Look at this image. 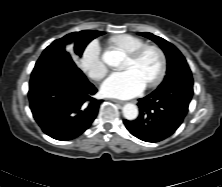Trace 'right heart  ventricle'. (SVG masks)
Masks as SVG:
<instances>
[{
  "label": "right heart ventricle",
  "instance_id": "e07e8e85",
  "mask_svg": "<svg viewBox=\"0 0 222 187\" xmlns=\"http://www.w3.org/2000/svg\"><path fill=\"white\" fill-rule=\"evenodd\" d=\"M109 43L123 53L130 54L140 46L144 45L145 41L130 34H120L111 37Z\"/></svg>",
  "mask_w": 222,
  "mask_h": 187
}]
</instances>
